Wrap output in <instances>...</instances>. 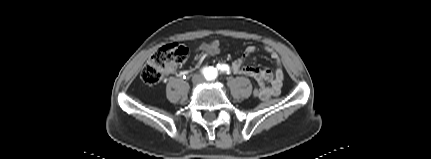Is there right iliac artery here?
I'll return each instance as SVG.
<instances>
[{
    "mask_svg": "<svg viewBox=\"0 0 431 159\" xmlns=\"http://www.w3.org/2000/svg\"><path fill=\"white\" fill-rule=\"evenodd\" d=\"M215 69L213 67H204L202 69V74L205 76L206 79H211L213 72Z\"/></svg>",
    "mask_w": 431,
    "mask_h": 159,
    "instance_id": "right-iliac-artery-1",
    "label": "right iliac artery"
}]
</instances>
